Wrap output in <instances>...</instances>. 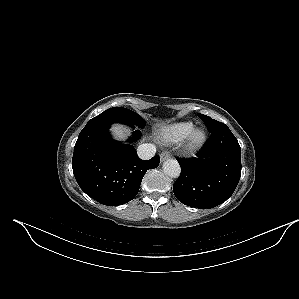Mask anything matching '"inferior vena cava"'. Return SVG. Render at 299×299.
Returning a JSON list of instances; mask_svg holds the SVG:
<instances>
[{
  "label": "inferior vena cava",
  "instance_id": "obj_1",
  "mask_svg": "<svg viewBox=\"0 0 299 299\" xmlns=\"http://www.w3.org/2000/svg\"><path fill=\"white\" fill-rule=\"evenodd\" d=\"M137 153L142 160H149L155 155L156 146L153 144H141L138 146Z\"/></svg>",
  "mask_w": 299,
  "mask_h": 299
}]
</instances>
